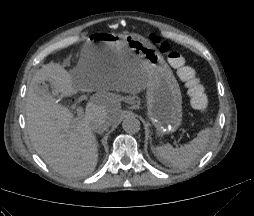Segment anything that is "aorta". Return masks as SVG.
<instances>
[{"label":"aorta","instance_id":"762f6f07","mask_svg":"<svg viewBox=\"0 0 254 216\" xmlns=\"http://www.w3.org/2000/svg\"><path fill=\"white\" fill-rule=\"evenodd\" d=\"M123 130L128 134H136L140 131V121L135 116H128L123 120Z\"/></svg>","mask_w":254,"mask_h":216}]
</instances>
